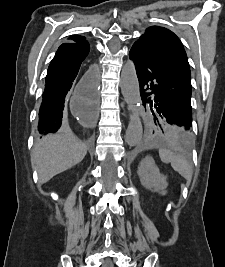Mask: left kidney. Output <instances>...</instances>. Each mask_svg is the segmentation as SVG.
<instances>
[{"label":"left kidney","instance_id":"left-kidney-1","mask_svg":"<svg viewBox=\"0 0 225 267\" xmlns=\"http://www.w3.org/2000/svg\"><path fill=\"white\" fill-rule=\"evenodd\" d=\"M137 173L141 184L145 188L159 192L162 195L166 194V188L168 186L166 176L160 173L152 157L147 156L142 160Z\"/></svg>","mask_w":225,"mask_h":267}]
</instances>
